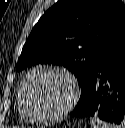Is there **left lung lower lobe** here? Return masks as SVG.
<instances>
[{
    "label": "left lung lower lobe",
    "mask_w": 125,
    "mask_h": 128,
    "mask_svg": "<svg viewBox=\"0 0 125 128\" xmlns=\"http://www.w3.org/2000/svg\"><path fill=\"white\" fill-rule=\"evenodd\" d=\"M70 115L125 125V29L103 53Z\"/></svg>",
    "instance_id": "0a47b994"
}]
</instances>
